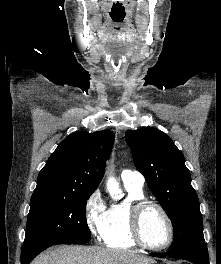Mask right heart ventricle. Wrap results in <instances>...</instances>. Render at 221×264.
<instances>
[{
  "label": "right heart ventricle",
  "instance_id": "obj_1",
  "mask_svg": "<svg viewBox=\"0 0 221 264\" xmlns=\"http://www.w3.org/2000/svg\"><path fill=\"white\" fill-rule=\"evenodd\" d=\"M125 188V200L112 204L107 211L105 230L101 237L107 247L127 249L136 246L129 231L128 210L133 202L144 199V192L132 184H125Z\"/></svg>",
  "mask_w": 221,
  "mask_h": 264
}]
</instances>
